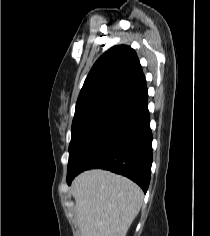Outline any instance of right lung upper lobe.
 <instances>
[{
  "instance_id": "right-lung-upper-lobe-1",
  "label": "right lung upper lobe",
  "mask_w": 210,
  "mask_h": 236,
  "mask_svg": "<svg viewBox=\"0 0 210 236\" xmlns=\"http://www.w3.org/2000/svg\"><path fill=\"white\" fill-rule=\"evenodd\" d=\"M135 51L125 45L115 46L94 64L80 91L76 105L115 89L131 92L145 83Z\"/></svg>"
}]
</instances>
